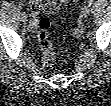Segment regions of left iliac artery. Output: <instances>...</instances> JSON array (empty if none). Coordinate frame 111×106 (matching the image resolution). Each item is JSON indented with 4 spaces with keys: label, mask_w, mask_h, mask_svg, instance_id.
<instances>
[{
    "label": "left iliac artery",
    "mask_w": 111,
    "mask_h": 106,
    "mask_svg": "<svg viewBox=\"0 0 111 106\" xmlns=\"http://www.w3.org/2000/svg\"><path fill=\"white\" fill-rule=\"evenodd\" d=\"M88 2H89V4H92V3H93V0H89Z\"/></svg>",
    "instance_id": "1"
}]
</instances>
